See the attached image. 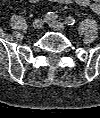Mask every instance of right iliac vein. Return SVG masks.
Instances as JSON below:
<instances>
[{
    "mask_svg": "<svg viewBox=\"0 0 100 118\" xmlns=\"http://www.w3.org/2000/svg\"><path fill=\"white\" fill-rule=\"evenodd\" d=\"M43 23H44V21L41 18H38L33 22L32 27L35 30L41 29L43 26Z\"/></svg>",
    "mask_w": 100,
    "mask_h": 118,
    "instance_id": "1",
    "label": "right iliac vein"
}]
</instances>
